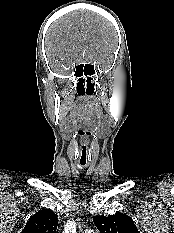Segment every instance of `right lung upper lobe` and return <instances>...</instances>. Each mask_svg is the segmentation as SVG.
<instances>
[{
  "label": "right lung upper lobe",
  "mask_w": 174,
  "mask_h": 233,
  "mask_svg": "<svg viewBox=\"0 0 174 233\" xmlns=\"http://www.w3.org/2000/svg\"><path fill=\"white\" fill-rule=\"evenodd\" d=\"M57 215L50 209H43L33 215L21 233H56Z\"/></svg>",
  "instance_id": "right-lung-upper-lobe-1"
}]
</instances>
